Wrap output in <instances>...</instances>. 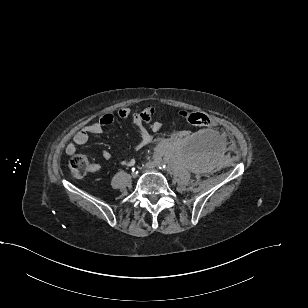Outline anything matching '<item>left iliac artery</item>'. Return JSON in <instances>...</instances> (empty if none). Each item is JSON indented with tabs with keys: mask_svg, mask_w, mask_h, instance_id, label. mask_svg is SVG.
<instances>
[{
	"mask_svg": "<svg viewBox=\"0 0 308 308\" xmlns=\"http://www.w3.org/2000/svg\"><path fill=\"white\" fill-rule=\"evenodd\" d=\"M158 166H159V169H163V170L167 168L166 165H163V164H159Z\"/></svg>",
	"mask_w": 308,
	"mask_h": 308,
	"instance_id": "1",
	"label": "left iliac artery"
}]
</instances>
